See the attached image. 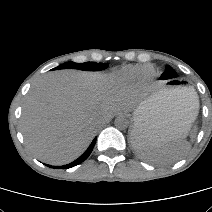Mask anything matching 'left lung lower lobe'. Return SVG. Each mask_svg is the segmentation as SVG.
Masks as SVG:
<instances>
[{
  "instance_id": "1",
  "label": "left lung lower lobe",
  "mask_w": 212,
  "mask_h": 212,
  "mask_svg": "<svg viewBox=\"0 0 212 212\" xmlns=\"http://www.w3.org/2000/svg\"><path fill=\"white\" fill-rule=\"evenodd\" d=\"M175 82V81H172ZM132 143L134 148L138 151V153L140 154V156L146 160H149L150 158V152H151V148L150 147H142L140 140L138 138L137 133H135L132 137Z\"/></svg>"
}]
</instances>
